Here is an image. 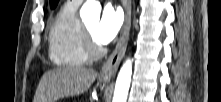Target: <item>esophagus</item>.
<instances>
[{
    "instance_id": "34e87169",
    "label": "esophagus",
    "mask_w": 221,
    "mask_h": 102,
    "mask_svg": "<svg viewBox=\"0 0 221 102\" xmlns=\"http://www.w3.org/2000/svg\"><path fill=\"white\" fill-rule=\"evenodd\" d=\"M123 4L125 7V22L121 31L120 39L100 71V77L105 80H110L115 76L128 44L131 27V0H124Z\"/></svg>"
}]
</instances>
